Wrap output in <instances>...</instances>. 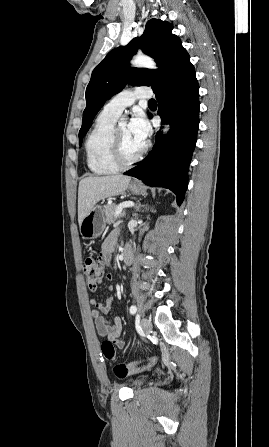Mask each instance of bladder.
I'll return each instance as SVG.
<instances>
[{
  "instance_id": "31cf9c89",
  "label": "bladder",
  "mask_w": 269,
  "mask_h": 447,
  "mask_svg": "<svg viewBox=\"0 0 269 447\" xmlns=\"http://www.w3.org/2000/svg\"><path fill=\"white\" fill-rule=\"evenodd\" d=\"M131 383H130V385L132 386V387H134V388H140V387H142L143 386V383H144V375H142V374H139V375H137V376H134L132 379H131Z\"/></svg>"
}]
</instances>
